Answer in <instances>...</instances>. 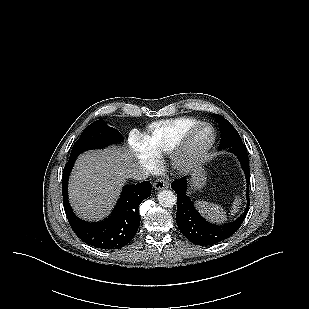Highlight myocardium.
Instances as JSON below:
<instances>
[{
	"instance_id": "myocardium-1",
	"label": "myocardium",
	"mask_w": 309,
	"mask_h": 309,
	"mask_svg": "<svg viewBox=\"0 0 309 309\" xmlns=\"http://www.w3.org/2000/svg\"><path fill=\"white\" fill-rule=\"evenodd\" d=\"M206 127L211 131L209 142L202 147H195L194 139L197 131ZM216 130L207 122L194 124L185 134L181 142L170 152V163L175 170L186 171L199 162L213 147Z\"/></svg>"
}]
</instances>
